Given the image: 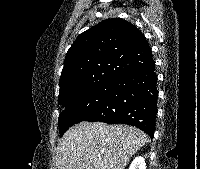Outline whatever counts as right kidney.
Returning <instances> with one entry per match:
<instances>
[{
    "label": "right kidney",
    "instance_id": "1",
    "mask_svg": "<svg viewBox=\"0 0 200 169\" xmlns=\"http://www.w3.org/2000/svg\"><path fill=\"white\" fill-rule=\"evenodd\" d=\"M129 169H146V163H145L144 158L143 157H136L132 161Z\"/></svg>",
    "mask_w": 200,
    "mask_h": 169
}]
</instances>
